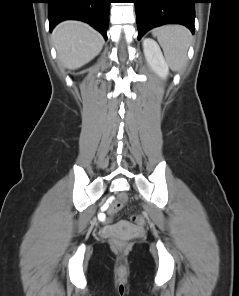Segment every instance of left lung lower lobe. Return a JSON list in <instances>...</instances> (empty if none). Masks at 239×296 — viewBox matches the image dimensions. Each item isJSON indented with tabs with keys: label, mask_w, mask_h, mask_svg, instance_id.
I'll use <instances>...</instances> for the list:
<instances>
[{
	"label": "left lung lower lobe",
	"mask_w": 239,
	"mask_h": 296,
	"mask_svg": "<svg viewBox=\"0 0 239 296\" xmlns=\"http://www.w3.org/2000/svg\"><path fill=\"white\" fill-rule=\"evenodd\" d=\"M138 40L150 29L166 23H178L194 34L197 0H134Z\"/></svg>",
	"instance_id": "left-lung-lower-lobe-1"
}]
</instances>
